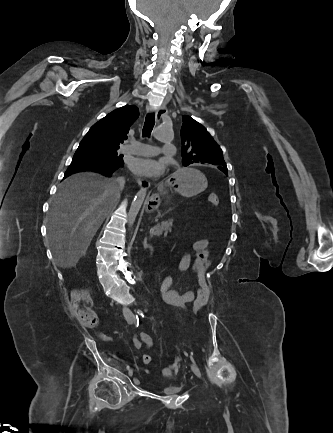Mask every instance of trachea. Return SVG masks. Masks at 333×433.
Masks as SVG:
<instances>
[{
  "mask_svg": "<svg viewBox=\"0 0 333 433\" xmlns=\"http://www.w3.org/2000/svg\"><path fill=\"white\" fill-rule=\"evenodd\" d=\"M154 125H155V114L154 113L147 114L145 118L143 130H142V136L149 137Z\"/></svg>",
  "mask_w": 333,
  "mask_h": 433,
  "instance_id": "1",
  "label": "trachea"
}]
</instances>
